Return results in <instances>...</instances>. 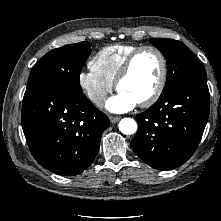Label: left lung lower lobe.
<instances>
[{"instance_id":"left-lung-lower-lobe-1","label":"left lung lower lobe","mask_w":221,"mask_h":221,"mask_svg":"<svg viewBox=\"0 0 221 221\" xmlns=\"http://www.w3.org/2000/svg\"><path fill=\"white\" fill-rule=\"evenodd\" d=\"M208 115L206 77L189 79L161 94L156 103L137 115L138 131L131 147L155 169L177 168L196 150Z\"/></svg>"}]
</instances>
